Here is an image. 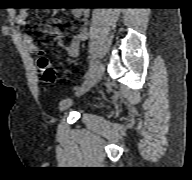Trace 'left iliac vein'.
Listing matches in <instances>:
<instances>
[{
    "instance_id": "obj_1",
    "label": "left iliac vein",
    "mask_w": 192,
    "mask_h": 180,
    "mask_svg": "<svg viewBox=\"0 0 192 180\" xmlns=\"http://www.w3.org/2000/svg\"><path fill=\"white\" fill-rule=\"evenodd\" d=\"M103 73L104 65L100 63L80 87L78 94L81 95L92 88L94 85H96L102 79Z\"/></svg>"
}]
</instances>
